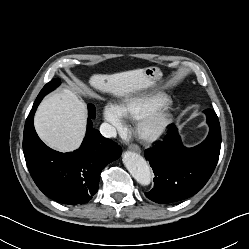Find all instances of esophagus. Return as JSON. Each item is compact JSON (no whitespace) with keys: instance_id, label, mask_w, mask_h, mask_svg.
<instances>
[{"instance_id":"obj_1","label":"esophagus","mask_w":249,"mask_h":249,"mask_svg":"<svg viewBox=\"0 0 249 249\" xmlns=\"http://www.w3.org/2000/svg\"><path fill=\"white\" fill-rule=\"evenodd\" d=\"M129 149L137 153H141V148L137 144H131L129 146Z\"/></svg>"}]
</instances>
